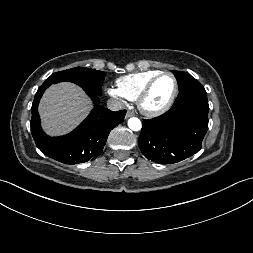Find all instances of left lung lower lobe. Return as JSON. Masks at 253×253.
<instances>
[{
	"instance_id": "obj_1",
	"label": "left lung lower lobe",
	"mask_w": 253,
	"mask_h": 253,
	"mask_svg": "<svg viewBox=\"0 0 253 253\" xmlns=\"http://www.w3.org/2000/svg\"><path fill=\"white\" fill-rule=\"evenodd\" d=\"M209 105L204 87L195 81L179 90L163 115L144 119L138 145L145 157L172 164L197 153L208 130Z\"/></svg>"
}]
</instances>
